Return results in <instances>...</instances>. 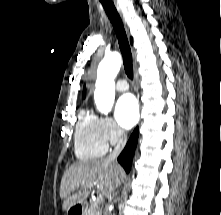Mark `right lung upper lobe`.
I'll list each match as a JSON object with an SVG mask.
<instances>
[{
    "mask_svg": "<svg viewBox=\"0 0 221 215\" xmlns=\"http://www.w3.org/2000/svg\"><path fill=\"white\" fill-rule=\"evenodd\" d=\"M133 42L132 38H131V43ZM85 93H86V88L84 87L83 89V94H82V97L84 98L85 97Z\"/></svg>",
    "mask_w": 221,
    "mask_h": 215,
    "instance_id": "obj_1",
    "label": "right lung upper lobe"
}]
</instances>
